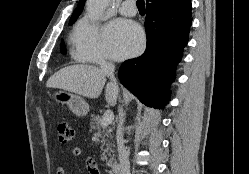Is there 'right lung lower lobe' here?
<instances>
[{
	"label": "right lung lower lobe",
	"instance_id": "right-lung-lower-lobe-1",
	"mask_svg": "<svg viewBox=\"0 0 249 174\" xmlns=\"http://www.w3.org/2000/svg\"><path fill=\"white\" fill-rule=\"evenodd\" d=\"M191 8L190 0L147 7L146 50L120 67L121 83L147 106L163 108L169 99L175 67L188 42Z\"/></svg>",
	"mask_w": 249,
	"mask_h": 174
}]
</instances>
